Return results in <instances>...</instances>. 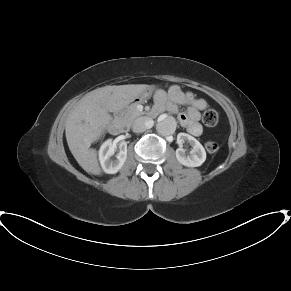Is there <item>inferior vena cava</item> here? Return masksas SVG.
Listing matches in <instances>:
<instances>
[{
	"instance_id": "obj_1",
	"label": "inferior vena cava",
	"mask_w": 291,
	"mask_h": 291,
	"mask_svg": "<svg viewBox=\"0 0 291 291\" xmlns=\"http://www.w3.org/2000/svg\"><path fill=\"white\" fill-rule=\"evenodd\" d=\"M153 126V120L149 117H139L132 123L133 132H143Z\"/></svg>"
}]
</instances>
